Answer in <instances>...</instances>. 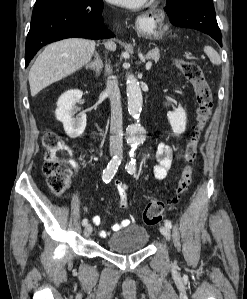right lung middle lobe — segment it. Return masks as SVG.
<instances>
[{
    "mask_svg": "<svg viewBox=\"0 0 247 299\" xmlns=\"http://www.w3.org/2000/svg\"><path fill=\"white\" fill-rule=\"evenodd\" d=\"M71 1V0H36L32 16H35L55 5Z\"/></svg>",
    "mask_w": 247,
    "mask_h": 299,
    "instance_id": "obj_1",
    "label": "right lung middle lobe"
}]
</instances>
